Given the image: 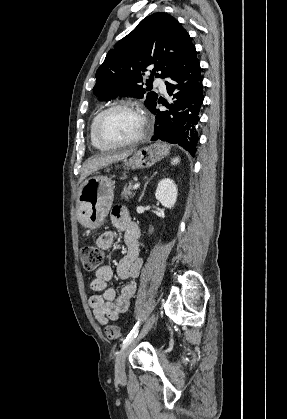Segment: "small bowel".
<instances>
[{
    "mask_svg": "<svg viewBox=\"0 0 287 419\" xmlns=\"http://www.w3.org/2000/svg\"><path fill=\"white\" fill-rule=\"evenodd\" d=\"M111 221L115 228L123 231L125 253L117 265V274L128 283L118 294L113 288H108L107 283L112 278V269L109 265L101 266L95 273L90 287L99 295L89 299L96 320L105 324L109 320H117L120 314L125 313L130 305V300L136 291V279L139 276L143 260L140 257L139 229L131 221L129 211L122 206H116L111 212ZM116 234L112 230L104 231L96 243L101 249H110L115 241Z\"/></svg>",
    "mask_w": 287,
    "mask_h": 419,
    "instance_id": "c3829d8e",
    "label": "small bowel"
}]
</instances>
